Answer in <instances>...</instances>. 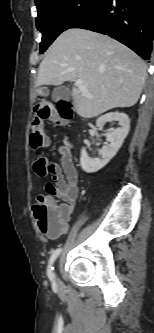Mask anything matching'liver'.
I'll use <instances>...</instances> for the list:
<instances>
[{
    "instance_id": "1",
    "label": "liver",
    "mask_w": 154,
    "mask_h": 333,
    "mask_svg": "<svg viewBox=\"0 0 154 333\" xmlns=\"http://www.w3.org/2000/svg\"><path fill=\"white\" fill-rule=\"evenodd\" d=\"M146 69V63L117 40L70 28L49 47L39 65L36 86L81 79L93 98L73 87L74 109L83 118H93L113 108L135 105Z\"/></svg>"
}]
</instances>
